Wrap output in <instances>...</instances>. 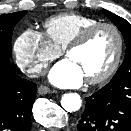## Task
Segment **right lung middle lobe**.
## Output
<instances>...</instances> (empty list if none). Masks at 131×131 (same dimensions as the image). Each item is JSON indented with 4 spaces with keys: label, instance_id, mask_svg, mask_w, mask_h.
<instances>
[{
    "label": "right lung middle lobe",
    "instance_id": "obj_1",
    "mask_svg": "<svg viewBox=\"0 0 131 131\" xmlns=\"http://www.w3.org/2000/svg\"><path fill=\"white\" fill-rule=\"evenodd\" d=\"M27 11H20L0 15V56L10 58L12 32L15 25L26 15Z\"/></svg>",
    "mask_w": 131,
    "mask_h": 131
}]
</instances>
